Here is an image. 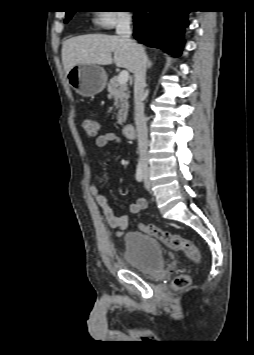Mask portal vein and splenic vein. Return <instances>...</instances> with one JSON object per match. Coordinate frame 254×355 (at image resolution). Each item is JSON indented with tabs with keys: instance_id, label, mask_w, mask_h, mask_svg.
<instances>
[{
	"instance_id": "portal-vein-and-splenic-vein-1",
	"label": "portal vein and splenic vein",
	"mask_w": 254,
	"mask_h": 355,
	"mask_svg": "<svg viewBox=\"0 0 254 355\" xmlns=\"http://www.w3.org/2000/svg\"><path fill=\"white\" fill-rule=\"evenodd\" d=\"M129 79V72L127 70H123L118 75V83L120 85L126 84Z\"/></svg>"
}]
</instances>
